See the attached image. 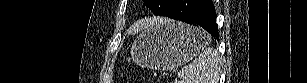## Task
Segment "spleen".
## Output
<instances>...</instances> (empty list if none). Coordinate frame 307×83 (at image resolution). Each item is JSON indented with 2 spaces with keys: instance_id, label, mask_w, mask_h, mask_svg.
I'll use <instances>...</instances> for the list:
<instances>
[{
  "instance_id": "obj_1",
  "label": "spleen",
  "mask_w": 307,
  "mask_h": 83,
  "mask_svg": "<svg viewBox=\"0 0 307 83\" xmlns=\"http://www.w3.org/2000/svg\"><path fill=\"white\" fill-rule=\"evenodd\" d=\"M208 39L210 40V36ZM221 59L217 50L205 47L203 52L178 72V83H217Z\"/></svg>"
}]
</instances>
